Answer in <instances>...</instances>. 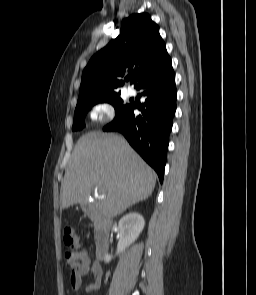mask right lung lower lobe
Wrapping results in <instances>:
<instances>
[{"mask_svg": "<svg viewBox=\"0 0 256 295\" xmlns=\"http://www.w3.org/2000/svg\"><path fill=\"white\" fill-rule=\"evenodd\" d=\"M136 89L143 90L145 103L141 107L131 103L103 130L121 132L130 145L154 168L162 182L169 133L176 110L177 90L171 58L145 74ZM136 108L141 111V115H134L133 110Z\"/></svg>", "mask_w": 256, "mask_h": 295, "instance_id": "1", "label": "right lung lower lobe"}]
</instances>
